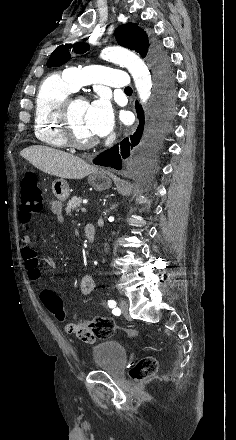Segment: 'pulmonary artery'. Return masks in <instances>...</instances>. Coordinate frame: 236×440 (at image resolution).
I'll return each mask as SVG.
<instances>
[{
    "label": "pulmonary artery",
    "mask_w": 236,
    "mask_h": 440,
    "mask_svg": "<svg viewBox=\"0 0 236 440\" xmlns=\"http://www.w3.org/2000/svg\"><path fill=\"white\" fill-rule=\"evenodd\" d=\"M64 76L74 90L91 83H100L111 88L120 89L131 86L130 80L124 71L109 66L70 67L65 71Z\"/></svg>",
    "instance_id": "e3ab8cb5"
}]
</instances>
